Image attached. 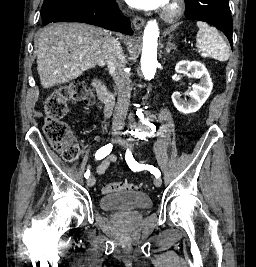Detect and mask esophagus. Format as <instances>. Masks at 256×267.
<instances>
[{
	"mask_svg": "<svg viewBox=\"0 0 256 267\" xmlns=\"http://www.w3.org/2000/svg\"><path fill=\"white\" fill-rule=\"evenodd\" d=\"M144 23L145 21L142 17H135L133 20V25L136 30H140L143 27Z\"/></svg>",
	"mask_w": 256,
	"mask_h": 267,
	"instance_id": "esophagus-1",
	"label": "esophagus"
}]
</instances>
